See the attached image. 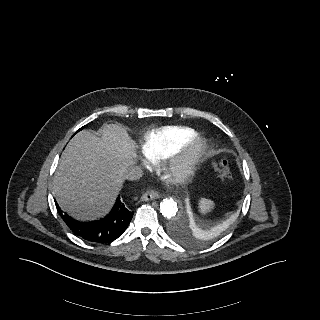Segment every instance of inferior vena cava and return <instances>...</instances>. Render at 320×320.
Here are the masks:
<instances>
[{
    "label": "inferior vena cava",
    "instance_id": "inferior-vena-cava-1",
    "mask_svg": "<svg viewBox=\"0 0 320 320\" xmlns=\"http://www.w3.org/2000/svg\"><path fill=\"white\" fill-rule=\"evenodd\" d=\"M143 175V171L140 168H129L125 174L124 177L128 180H136L141 178Z\"/></svg>",
    "mask_w": 320,
    "mask_h": 320
}]
</instances>
